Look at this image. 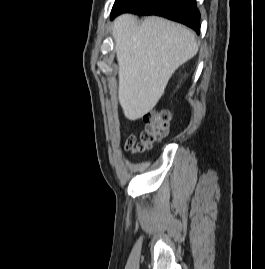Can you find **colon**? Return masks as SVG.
Here are the masks:
<instances>
[{
	"instance_id": "1",
	"label": "colon",
	"mask_w": 265,
	"mask_h": 269,
	"mask_svg": "<svg viewBox=\"0 0 265 269\" xmlns=\"http://www.w3.org/2000/svg\"><path fill=\"white\" fill-rule=\"evenodd\" d=\"M146 124L140 142L131 135L127 140V148L132 152H143L164 138L169 131L170 114L167 111H153L144 115Z\"/></svg>"
}]
</instances>
